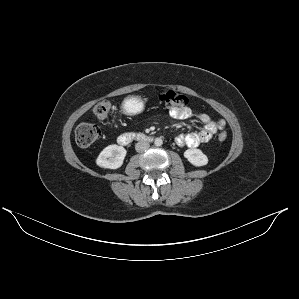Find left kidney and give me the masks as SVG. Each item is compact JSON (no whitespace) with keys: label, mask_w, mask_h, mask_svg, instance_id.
<instances>
[{"label":"left kidney","mask_w":299,"mask_h":299,"mask_svg":"<svg viewBox=\"0 0 299 299\" xmlns=\"http://www.w3.org/2000/svg\"><path fill=\"white\" fill-rule=\"evenodd\" d=\"M184 157L194 166L200 167L207 165L208 158L200 149H187Z\"/></svg>","instance_id":"5707ae66"}]
</instances>
